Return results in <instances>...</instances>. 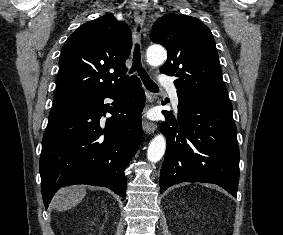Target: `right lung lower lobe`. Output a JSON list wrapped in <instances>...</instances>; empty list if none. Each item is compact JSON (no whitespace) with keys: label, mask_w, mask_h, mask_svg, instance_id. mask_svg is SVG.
<instances>
[{"label":"right lung lower lobe","mask_w":283,"mask_h":235,"mask_svg":"<svg viewBox=\"0 0 283 235\" xmlns=\"http://www.w3.org/2000/svg\"><path fill=\"white\" fill-rule=\"evenodd\" d=\"M115 101L105 104L104 99ZM145 94L137 77L81 100L66 116L48 122L40 157L41 190L47 208L66 185L104 186L125 198L124 170L138 150ZM109 112L104 125L101 117Z\"/></svg>","instance_id":"obj_1"}]
</instances>
